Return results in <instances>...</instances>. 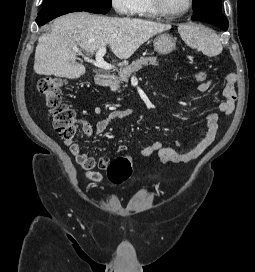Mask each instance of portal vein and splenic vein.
I'll return each mask as SVG.
<instances>
[{"label": "portal vein and splenic vein", "mask_w": 255, "mask_h": 272, "mask_svg": "<svg viewBox=\"0 0 255 272\" xmlns=\"http://www.w3.org/2000/svg\"><path fill=\"white\" fill-rule=\"evenodd\" d=\"M75 51L77 53H79L80 55L81 52L79 49H75ZM106 53V47H101L97 50L96 55H95V60L90 59L89 57H84V60L90 63H93L95 66L105 69V70H111L113 67L107 63L106 61H104L103 56Z\"/></svg>", "instance_id": "1"}]
</instances>
